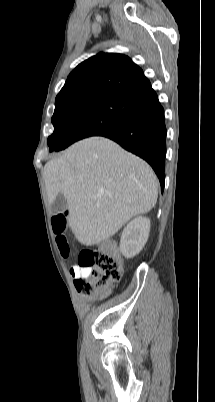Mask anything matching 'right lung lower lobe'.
Returning a JSON list of instances; mask_svg holds the SVG:
<instances>
[{"instance_id": "right-lung-lower-lobe-1", "label": "right lung lower lobe", "mask_w": 215, "mask_h": 402, "mask_svg": "<svg viewBox=\"0 0 215 402\" xmlns=\"http://www.w3.org/2000/svg\"><path fill=\"white\" fill-rule=\"evenodd\" d=\"M100 136L117 142L124 149L147 161L161 184L165 182L166 126L164 109L158 97L143 102L118 128Z\"/></svg>"}]
</instances>
